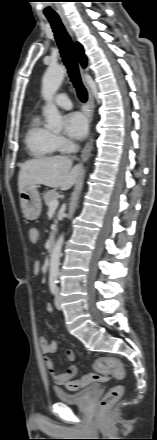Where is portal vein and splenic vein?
<instances>
[{"mask_svg": "<svg viewBox=\"0 0 157 440\" xmlns=\"http://www.w3.org/2000/svg\"><path fill=\"white\" fill-rule=\"evenodd\" d=\"M59 205L58 200H53L50 204H49V211H55L57 209Z\"/></svg>", "mask_w": 157, "mask_h": 440, "instance_id": "18ae733b", "label": "portal vein and splenic vein"}]
</instances>
